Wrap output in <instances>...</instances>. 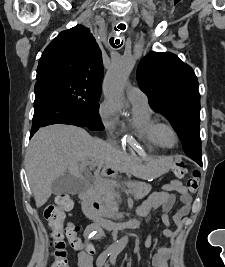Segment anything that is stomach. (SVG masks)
Instances as JSON below:
<instances>
[{
  "label": "stomach",
  "mask_w": 225,
  "mask_h": 267,
  "mask_svg": "<svg viewBox=\"0 0 225 267\" xmlns=\"http://www.w3.org/2000/svg\"><path fill=\"white\" fill-rule=\"evenodd\" d=\"M169 165V159L167 158L154 161L149 167V172L146 178H155L157 176H160L169 169Z\"/></svg>",
  "instance_id": "stomach-1"
}]
</instances>
